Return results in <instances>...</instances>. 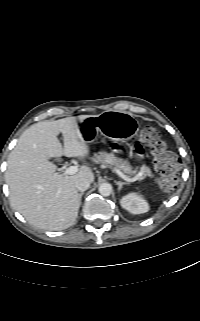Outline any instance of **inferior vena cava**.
<instances>
[{"label": "inferior vena cava", "instance_id": "1", "mask_svg": "<svg viewBox=\"0 0 200 321\" xmlns=\"http://www.w3.org/2000/svg\"><path fill=\"white\" fill-rule=\"evenodd\" d=\"M90 183L91 182L87 178H80L76 181L75 186L78 191L83 192L89 188Z\"/></svg>", "mask_w": 200, "mask_h": 321}]
</instances>
